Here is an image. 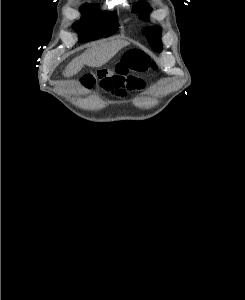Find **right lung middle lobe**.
<instances>
[{
  "instance_id": "obj_1",
  "label": "right lung middle lobe",
  "mask_w": 245,
  "mask_h": 300,
  "mask_svg": "<svg viewBox=\"0 0 245 300\" xmlns=\"http://www.w3.org/2000/svg\"><path fill=\"white\" fill-rule=\"evenodd\" d=\"M81 13V20L73 24L80 43L108 37L118 30V19L115 14L103 13L97 7L88 5L81 8Z\"/></svg>"
}]
</instances>
